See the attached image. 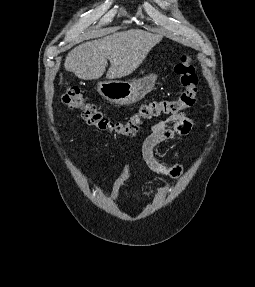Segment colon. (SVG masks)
<instances>
[{"label": "colon", "instance_id": "colon-1", "mask_svg": "<svg viewBox=\"0 0 255 287\" xmlns=\"http://www.w3.org/2000/svg\"><path fill=\"white\" fill-rule=\"evenodd\" d=\"M183 91L174 100L150 101L143 104L124 122H114L105 116L97 106L88 102L82 91L75 85H69L62 95L63 103L78 110L82 119L96 129L121 136H134L141 123L161 114H177L178 112L191 108L196 103L198 77L196 75L194 61L183 55L174 66Z\"/></svg>", "mask_w": 255, "mask_h": 287}]
</instances>
